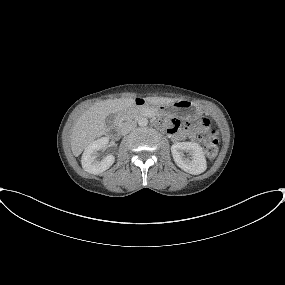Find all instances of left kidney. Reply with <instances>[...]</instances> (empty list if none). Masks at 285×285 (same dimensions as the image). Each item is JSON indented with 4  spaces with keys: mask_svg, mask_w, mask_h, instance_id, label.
Wrapping results in <instances>:
<instances>
[{
    "mask_svg": "<svg viewBox=\"0 0 285 285\" xmlns=\"http://www.w3.org/2000/svg\"><path fill=\"white\" fill-rule=\"evenodd\" d=\"M184 151L189 152L191 157L185 158ZM171 153L177 166L193 175L203 173L206 168L205 154L202 147L194 142H177L171 146Z\"/></svg>",
    "mask_w": 285,
    "mask_h": 285,
    "instance_id": "1",
    "label": "left kidney"
}]
</instances>
